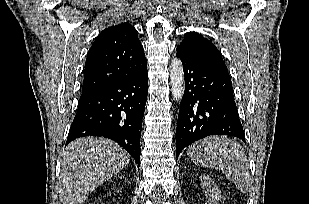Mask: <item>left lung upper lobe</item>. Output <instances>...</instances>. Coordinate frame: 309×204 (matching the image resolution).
Returning <instances> with one entry per match:
<instances>
[{"label": "left lung upper lobe", "instance_id": "obj_1", "mask_svg": "<svg viewBox=\"0 0 309 204\" xmlns=\"http://www.w3.org/2000/svg\"><path fill=\"white\" fill-rule=\"evenodd\" d=\"M177 50L188 53L193 58L228 72L216 46L197 32L186 33Z\"/></svg>", "mask_w": 309, "mask_h": 204}]
</instances>
